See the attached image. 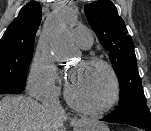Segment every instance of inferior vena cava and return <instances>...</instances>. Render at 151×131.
I'll return each instance as SVG.
<instances>
[{
	"label": "inferior vena cava",
	"instance_id": "602c4592",
	"mask_svg": "<svg viewBox=\"0 0 151 131\" xmlns=\"http://www.w3.org/2000/svg\"><path fill=\"white\" fill-rule=\"evenodd\" d=\"M42 107L49 111L58 112L61 110V105L57 95L51 90H45L41 99Z\"/></svg>",
	"mask_w": 151,
	"mask_h": 131
}]
</instances>
